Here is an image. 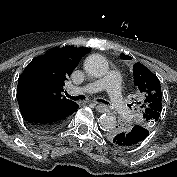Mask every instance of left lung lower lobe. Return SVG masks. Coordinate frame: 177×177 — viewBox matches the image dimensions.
I'll return each instance as SVG.
<instances>
[{
	"mask_svg": "<svg viewBox=\"0 0 177 177\" xmlns=\"http://www.w3.org/2000/svg\"><path fill=\"white\" fill-rule=\"evenodd\" d=\"M148 135L149 130L137 124L126 130L119 128L110 133V139L118 146L133 147L139 145Z\"/></svg>",
	"mask_w": 177,
	"mask_h": 177,
	"instance_id": "obj_1",
	"label": "left lung lower lobe"
}]
</instances>
